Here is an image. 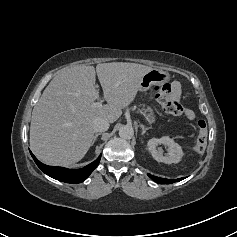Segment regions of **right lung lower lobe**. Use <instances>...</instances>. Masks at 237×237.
<instances>
[{"instance_id": "obj_1", "label": "right lung lower lobe", "mask_w": 237, "mask_h": 237, "mask_svg": "<svg viewBox=\"0 0 237 237\" xmlns=\"http://www.w3.org/2000/svg\"><path fill=\"white\" fill-rule=\"evenodd\" d=\"M37 166L48 176L66 183H80L84 181L98 166L101 155L92 163L81 169L70 170L63 167L48 166L41 163L30 151Z\"/></svg>"}]
</instances>
